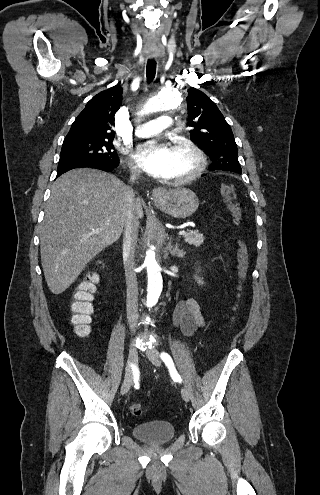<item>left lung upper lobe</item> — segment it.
Returning <instances> with one entry per match:
<instances>
[{
	"label": "left lung upper lobe",
	"instance_id": "5c2ea615",
	"mask_svg": "<svg viewBox=\"0 0 320 495\" xmlns=\"http://www.w3.org/2000/svg\"><path fill=\"white\" fill-rule=\"evenodd\" d=\"M186 101L190 138L211 158L209 169L241 174L232 130L216 104L196 88L188 90Z\"/></svg>",
	"mask_w": 320,
	"mask_h": 495
}]
</instances>
